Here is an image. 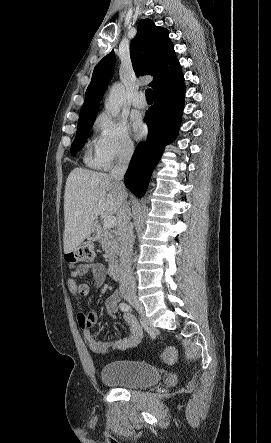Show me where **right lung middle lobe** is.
<instances>
[{
    "mask_svg": "<svg viewBox=\"0 0 271 443\" xmlns=\"http://www.w3.org/2000/svg\"><path fill=\"white\" fill-rule=\"evenodd\" d=\"M96 116L78 120V128L74 142L71 146V154L74 156L85 144L90 128Z\"/></svg>",
    "mask_w": 271,
    "mask_h": 443,
    "instance_id": "1",
    "label": "right lung middle lobe"
}]
</instances>
